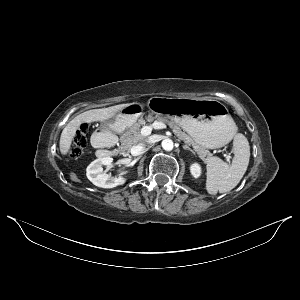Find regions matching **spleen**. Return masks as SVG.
<instances>
[{
  "mask_svg": "<svg viewBox=\"0 0 300 300\" xmlns=\"http://www.w3.org/2000/svg\"><path fill=\"white\" fill-rule=\"evenodd\" d=\"M234 157L229 165L218 157H212L207 165L206 190L215 195L231 191L244 176L250 159V146L247 138L238 133L233 141Z\"/></svg>",
  "mask_w": 300,
  "mask_h": 300,
  "instance_id": "obj_1",
  "label": "spleen"
}]
</instances>
